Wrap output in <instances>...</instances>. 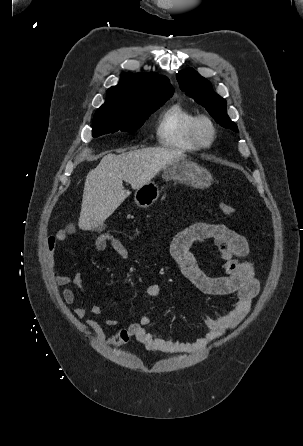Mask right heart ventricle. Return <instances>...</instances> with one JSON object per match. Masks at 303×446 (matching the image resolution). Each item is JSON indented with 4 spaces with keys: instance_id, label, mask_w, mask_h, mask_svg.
<instances>
[{
    "instance_id": "1",
    "label": "right heart ventricle",
    "mask_w": 303,
    "mask_h": 446,
    "mask_svg": "<svg viewBox=\"0 0 303 446\" xmlns=\"http://www.w3.org/2000/svg\"><path fill=\"white\" fill-rule=\"evenodd\" d=\"M195 114L179 102L169 105L159 116L156 126L158 143L180 151L199 150L191 134Z\"/></svg>"
}]
</instances>
